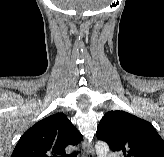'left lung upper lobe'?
<instances>
[{"label": "left lung upper lobe", "mask_w": 164, "mask_h": 157, "mask_svg": "<svg viewBox=\"0 0 164 157\" xmlns=\"http://www.w3.org/2000/svg\"><path fill=\"white\" fill-rule=\"evenodd\" d=\"M96 135L121 157H164V141L152 124L125 111L107 112Z\"/></svg>", "instance_id": "5c2ea615"}]
</instances>
